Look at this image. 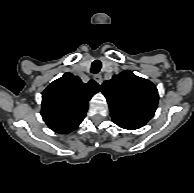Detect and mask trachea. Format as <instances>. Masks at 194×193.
<instances>
[{
	"instance_id": "3493384b",
	"label": "trachea",
	"mask_w": 194,
	"mask_h": 193,
	"mask_svg": "<svg viewBox=\"0 0 194 193\" xmlns=\"http://www.w3.org/2000/svg\"><path fill=\"white\" fill-rule=\"evenodd\" d=\"M101 62L100 60H95L92 62V65H91V73L93 74H96L100 71L101 69Z\"/></svg>"
}]
</instances>
